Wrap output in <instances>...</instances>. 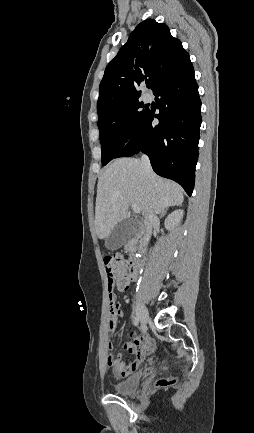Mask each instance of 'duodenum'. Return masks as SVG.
Segmentation results:
<instances>
[{"instance_id":"duodenum-1","label":"duodenum","mask_w":254,"mask_h":433,"mask_svg":"<svg viewBox=\"0 0 254 433\" xmlns=\"http://www.w3.org/2000/svg\"><path fill=\"white\" fill-rule=\"evenodd\" d=\"M130 250L134 251L135 248L133 246H131ZM141 266H142V259H138L136 257L130 258L131 277L133 280L138 278Z\"/></svg>"}]
</instances>
